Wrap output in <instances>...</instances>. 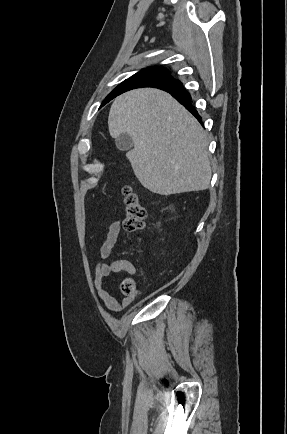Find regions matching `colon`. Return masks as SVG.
<instances>
[{
	"instance_id": "1",
	"label": "colon",
	"mask_w": 287,
	"mask_h": 434,
	"mask_svg": "<svg viewBox=\"0 0 287 434\" xmlns=\"http://www.w3.org/2000/svg\"><path fill=\"white\" fill-rule=\"evenodd\" d=\"M125 203L124 229L128 233L141 230L145 225L146 212L140 196L129 186L123 189ZM121 292L131 296L136 291V283L132 279H125L120 286Z\"/></svg>"
}]
</instances>
